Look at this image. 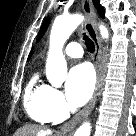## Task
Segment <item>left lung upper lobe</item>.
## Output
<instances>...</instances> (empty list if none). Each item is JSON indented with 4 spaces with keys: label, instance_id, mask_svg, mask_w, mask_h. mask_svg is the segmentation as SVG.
I'll use <instances>...</instances> for the list:
<instances>
[{
    "label": "left lung upper lobe",
    "instance_id": "left-lung-upper-lobe-1",
    "mask_svg": "<svg viewBox=\"0 0 136 136\" xmlns=\"http://www.w3.org/2000/svg\"><path fill=\"white\" fill-rule=\"evenodd\" d=\"M93 3L95 5V7L98 10L99 15L104 18V9L102 8V6L99 4V0H93ZM50 18H46L41 26V29L39 31L38 37H37V41H39L41 39V37L44 35L48 24H49Z\"/></svg>",
    "mask_w": 136,
    "mask_h": 136
}]
</instances>
